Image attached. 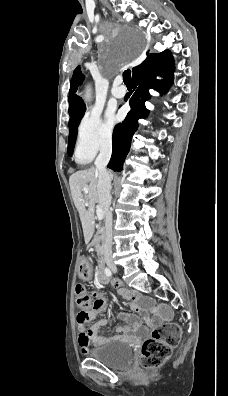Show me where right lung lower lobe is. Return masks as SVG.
<instances>
[{"label": "right lung lower lobe", "mask_w": 228, "mask_h": 396, "mask_svg": "<svg viewBox=\"0 0 228 396\" xmlns=\"http://www.w3.org/2000/svg\"><path fill=\"white\" fill-rule=\"evenodd\" d=\"M173 71L174 64L169 51L160 54L152 53L133 71L134 90L125 96V101L129 100L131 110L126 119L114 129L113 150L108 168L114 171L122 170L131 146L132 136L138 129V119L146 118L149 112L145 107V101L150 97L149 89L166 91L172 84ZM158 75L163 76L164 80H157Z\"/></svg>", "instance_id": "1"}]
</instances>
